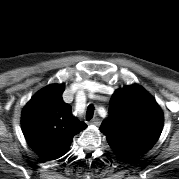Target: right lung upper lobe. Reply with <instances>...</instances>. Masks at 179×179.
<instances>
[{"instance_id":"obj_1","label":"right lung upper lobe","mask_w":179,"mask_h":179,"mask_svg":"<svg viewBox=\"0 0 179 179\" xmlns=\"http://www.w3.org/2000/svg\"><path fill=\"white\" fill-rule=\"evenodd\" d=\"M62 86L51 85L36 93L23 111V131L37 150L68 149L72 138L86 127L71 115Z\"/></svg>"}]
</instances>
